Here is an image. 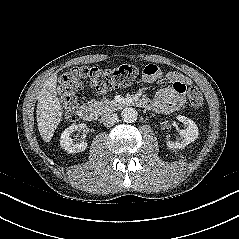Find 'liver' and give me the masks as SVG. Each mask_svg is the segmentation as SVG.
<instances>
[{
  "label": "liver",
  "instance_id": "1",
  "mask_svg": "<svg viewBox=\"0 0 239 239\" xmlns=\"http://www.w3.org/2000/svg\"><path fill=\"white\" fill-rule=\"evenodd\" d=\"M57 76L54 74L45 82L38 96L36 109L37 126L42 139L49 142L59 125L63 110L57 97Z\"/></svg>",
  "mask_w": 239,
  "mask_h": 239
}]
</instances>
